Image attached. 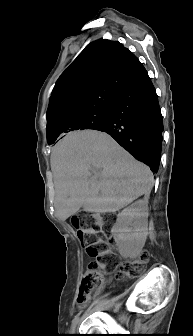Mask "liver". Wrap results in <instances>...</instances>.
Segmentation results:
<instances>
[{
	"label": "liver",
	"instance_id": "6515ba94",
	"mask_svg": "<svg viewBox=\"0 0 193 336\" xmlns=\"http://www.w3.org/2000/svg\"><path fill=\"white\" fill-rule=\"evenodd\" d=\"M55 214L64 221L81 207L96 214L116 212L154 184L148 166L106 133L85 130L68 135L51 152Z\"/></svg>",
	"mask_w": 193,
	"mask_h": 336
}]
</instances>
